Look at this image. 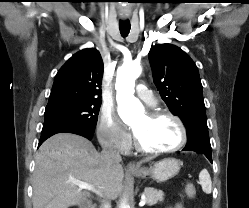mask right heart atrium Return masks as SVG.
I'll use <instances>...</instances> for the list:
<instances>
[{"instance_id": "right-heart-atrium-1", "label": "right heart atrium", "mask_w": 249, "mask_h": 208, "mask_svg": "<svg viewBox=\"0 0 249 208\" xmlns=\"http://www.w3.org/2000/svg\"><path fill=\"white\" fill-rule=\"evenodd\" d=\"M97 135L101 144L127 151L131 145V137L121 124L113 110L102 108L97 125Z\"/></svg>"}]
</instances>
